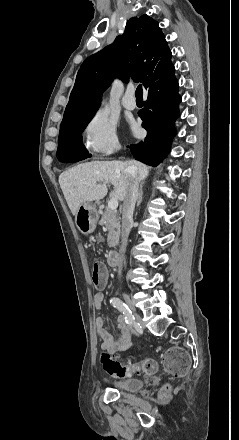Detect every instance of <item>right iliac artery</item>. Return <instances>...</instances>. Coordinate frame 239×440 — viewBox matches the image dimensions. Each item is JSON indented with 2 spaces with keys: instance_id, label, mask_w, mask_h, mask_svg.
<instances>
[{
  "instance_id": "obj_1",
  "label": "right iliac artery",
  "mask_w": 239,
  "mask_h": 440,
  "mask_svg": "<svg viewBox=\"0 0 239 440\" xmlns=\"http://www.w3.org/2000/svg\"><path fill=\"white\" fill-rule=\"evenodd\" d=\"M110 303L113 307L117 308L120 312L123 313L126 323L131 327L135 323V317L132 314L130 308L119 298H112Z\"/></svg>"
}]
</instances>
